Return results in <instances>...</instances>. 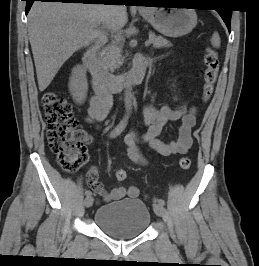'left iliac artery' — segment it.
<instances>
[{"label":"left iliac artery","instance_id":"obj_1","mask_svg":"<svg viewBox=\"0 0 259 266\" xmlns=\"http://www.w3.org/2000/svg\"><path fill=\"white\" fill-rule=\"evenodd\" d=\"M158 203L161 204L162 206L165 205V201H164L163 199H159V200H158Z\"/></svg>","mask_w":259,"mask_h":266}]
</instances>
